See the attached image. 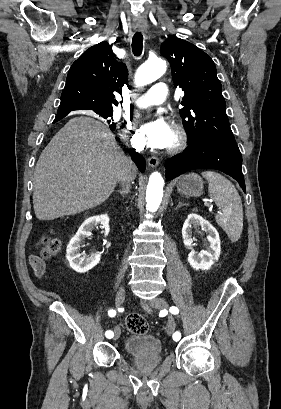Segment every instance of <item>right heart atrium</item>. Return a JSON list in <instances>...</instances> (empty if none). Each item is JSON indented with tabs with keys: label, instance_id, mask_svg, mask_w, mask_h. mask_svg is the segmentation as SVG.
<instances>
[{
	"label": "right heart atrium",
	"instance_id": "1",
	"mask_svg": "<svg viewBox=\"0 0 281 409\" xmlns=\"http://www.w3.org/2000/svg\"><path fill=\"white\" fill-rule=\"evenodd\" d=\"M129 132H130V125H127L125 127V129L123 130V133H122L123 140L126 143H128L132 148H134L136 150H140L141 149V144L139 143V141L134 136H130Z\"/></svg>",
	"mask_w": 281,
	"mask_h": 409
}]
</instances>
